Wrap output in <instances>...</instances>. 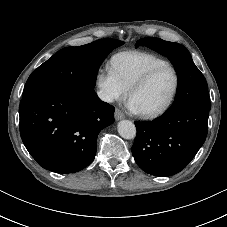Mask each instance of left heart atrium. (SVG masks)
<instances>
[{"instance_id": "1", "label": "left heart atrium", "mask_w": 227, "mask_h": 227, "mask_svg": "<svg viewBox=\"0 0 227 227\" xmlns=\"http://www.w3.org/2000/svg\"><path fill=\"white\" fill-rule=\"evenodd\" d=\"M128 106L132 111H138L131 101H129Z\"/></svg>"}]
</instances>
